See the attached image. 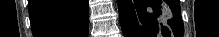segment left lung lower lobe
I'll return each mask as SVG.
<instances>
[{
  "label": "left lung lower lobe",
  "instance_id": "0a47b994",
  "mask_svg": "<svg viewBox=\"0 0 219 37\" xmlns=\"http://www.w3.org/2000/svg\"><path fill=\"white\" fill-rule=\"evenodd\" d=\"M124 37H183L179 0H118Z\"/></svg>",
  "mask_w": 219,
  "mask_h": 37
}]
</instances>
